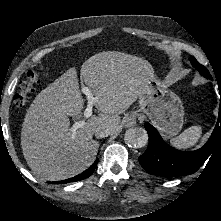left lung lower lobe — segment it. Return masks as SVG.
Instances as JSON below:
<instances>
[{
	"label": "left lung lower lobe",
	"mask_w": 221,
	"mask_h": 221,
	"mask_svg": "<svg viewBox=\"0 0 221 221\" xmlns=\"http://www.w3.org/2000/svg\"><path fill=\"white\" fill-rule=\"evenodd\" d=\"M148 135L147 150L139 157L141 166L152 175L177 177L196 172L218 147L221 148V106L216 127L208 142L196 151H179L164 142L158 131L144 124Z\"/></svg>",
	"instance_id": "0a47b994"
}]
</instances>
